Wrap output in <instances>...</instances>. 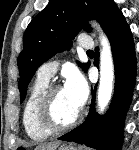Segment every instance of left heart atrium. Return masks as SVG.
<instances>
[{
	"label": "left heart atrium",
	"mask_w": 139,
	"mask_h": 150,
	"mask_svg": "<svg viewBox=\"0 0 139 150\" xmlns=\"http://www.w3.org/2000/svg\"><path fill=\"white\" fill-rule=\"evenodd\" d=\"M64 90L80 107L85 103L88 96L87 83L77 71H72L67 75Z\"/></svg>",
	"instance_id": "left-heart-atrium-1"
}]
</instances>
